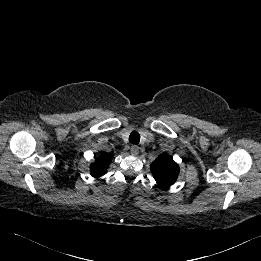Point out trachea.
Returning a JSON list of instances; mask_svg holds the SVG:
<instances>
[{"mask_svg":"<svg viewBox=\"0 0 261 261\" xmlns=\"http://www.w3.org/2000/svg\"><path fill=\"white\" fill-rule=\"evenodd\" d=\"M129 142L133 144H139L140 134L137 131H133L129 136Z\"/></svg>","mask_w":261,"mask_h":261,"instance_id":"obj_1","label":"trachea"}]
</instances>
